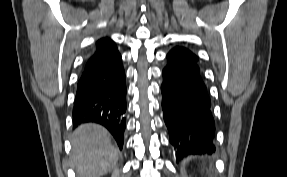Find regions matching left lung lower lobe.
<instances>
[{"label":"left lung lower lobe","instance_id":"0a47b994","mask_svg":"<svg viewBox=\"0 0 287 177\" xmlns=\"http://www.w3.org/2000/svg\"><path fill=\"white\" fill-rule=\"evenodd\" d=\"M198 60L187 48L175 47L163 69L162 109L177 162L215 151L211 102Z\"/></svg>","mask_w":287,"mask_h":177}]
</instances>
